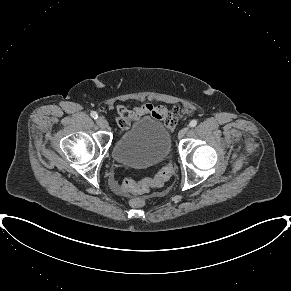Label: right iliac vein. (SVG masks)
I'll return each instance as SVG.
<instances>
[{
    "mask_svg": "<svg viewBox=\"0 0 291 291\" xmlns=\"http://www.w3.org/2000/svg\"><path fill=\"white\" fill-rule=\"evenodd\" d=\"M96 123L101 128H106L108 126V122L104 117H98Z\"/></svg>",
    "mask_w": 291,
    "mask_h": 291,
    "instance_id": "right-iliac-vein-1",
    "label": "right iliac vein"
}]
</instances>
